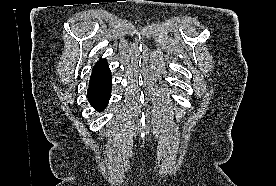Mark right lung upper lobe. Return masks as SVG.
<instances>
[{"label":"right lung upper lobe","instance_id":"1","mask_svg":"<svg viewBox=\"0 0 276 186\" xmlns=\"http://www.w3.org/2000/svg\"><path fill=\"white\" fill-rule=\"evenodd\" d=\"M109 77H111L109 65L101 59L93 68L90 82L101 81Z\"/></svg>","mask_w":276,"mask_h":186}]
</instances>
